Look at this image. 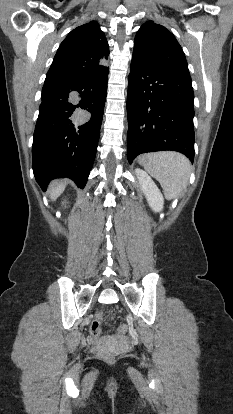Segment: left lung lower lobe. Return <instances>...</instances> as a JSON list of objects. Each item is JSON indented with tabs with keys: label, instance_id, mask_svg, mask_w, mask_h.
<instances>
[{
	"label": "left lung lower lobe",
	"instance_id": "1",
	"mask_svg": "<svg viewBox=\"0 0 233 414\" xmlns=\"http://www.w3.org/2000/svg\"><path fill=\"white\" fill-rule=\"evenodd\" d=\"M194 93L191 77L133 58L127 97V158L172 150L194 159Z\"/></svg>",
	"mask_w": 233,
	"mask_h": 414
}]
</instances>
